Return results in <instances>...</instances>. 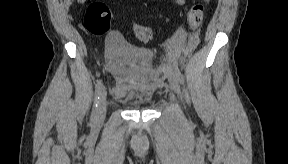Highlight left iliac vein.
Listing matches in <instances>:
<instances>
[{"mask_svg":"<svg viewBox=\"0 0 288 164\" xmlns=\"http://www.w3.org/2000/svg\"><path fill=\"white\" fill-rule=\"evenodd\" d=\"M171 85L175 94L178 96L179 99H181V89L179 83L175 79H172Z\"/></svg>","mask_w":288,"mask_h":164,"instance_id":"4c4485c4","label":"left iliac vein"}]
</instances>
